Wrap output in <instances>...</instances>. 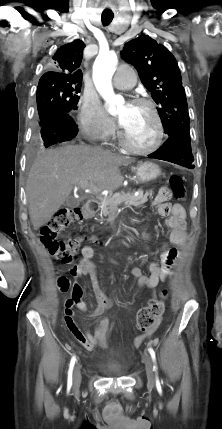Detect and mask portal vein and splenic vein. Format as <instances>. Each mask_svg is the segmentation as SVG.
I'll return each mask as SVG.
<instances>
[{"label":"portal vein and splenic vein","mask_w":222,"mask_h":429,"mask_svg":"<svg viewBox=\"0 0 222 429\" xmlns=\"http://www.w3.org/2000/svg\"><path fill=\"white\" fill-rule=\"evenodd\" d=\"M79 186L84 189L85 191L89 192V193H93V194H98L101 189L96 188L95 186H93L92 184H89L88 181H82L80 182ZM122 199H125V197H123ZM121 200L118 201V203H120Z\"/></svg>","instance_id":"obj_1"}]
</instances>
